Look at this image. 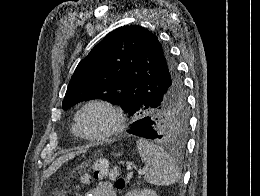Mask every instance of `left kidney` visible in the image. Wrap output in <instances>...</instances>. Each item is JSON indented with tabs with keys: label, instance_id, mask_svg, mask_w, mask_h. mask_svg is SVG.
I'll return each instance as SVG.
<instances>
[{
	"label": "left kidney",
	"instance_id": "5707ae66",
	"mask_svg": "<svg viewBox=\"0 0 260 196\" xmlns=\"http://www.w3.org/2000/svg\"><path fill=\"white\" fill-rule=\"evenodd\" d=\"M126 196H157L154 190H130Z\"/></svg>",
	"mask_w": 260,
	"mask_h": 196
}]
</instances>
